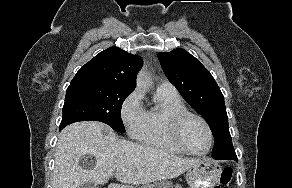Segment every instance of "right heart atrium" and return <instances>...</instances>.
Listing matches in <instances>:
<instances>
[{
  "instance_id": "d8ad5b80",
  "label": "right heart atrium",
  "mask_w": 292,
  "mask_h": 188,
  "mask_svg": "<svg viewBox=\"0 0 292 188\" xmlns=\"http://www.w3.org/2000/svg\"><path fill=\"white\" fill-rule=\"evenodd\" d=\"M120 117L128 133L136 137L144 119V109L138 90H134L123 100L120 107Z\"/></svg>"
}]
</instances>
